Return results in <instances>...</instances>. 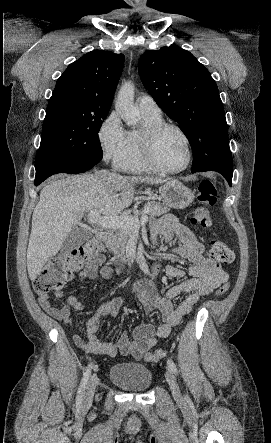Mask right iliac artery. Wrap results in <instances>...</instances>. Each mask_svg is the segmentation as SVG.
I'll return each mask as SVG.
<instances>
[{
    "label": "right iliac artery",
    "instance_id": "1",
    "mask_svg": "<svg viewBox=\"0 0 271 443\" xmlns=\"http://www.w3.org/2000/svg\"><path fill=\"white\" fill-rule=\"evenodd\" d=\"M91 369H92V364H90L87 367V370L84 373L83 378L81 380V383L79 385V388H78V391H77V396H76V404H77V406H80L82 404L84 392H85L86 385H87V382H88V379H89V376H90V373H91Z\"/></svg>",
    "mask_w": 271,
    "mask_h": 443
}]
</instances>
